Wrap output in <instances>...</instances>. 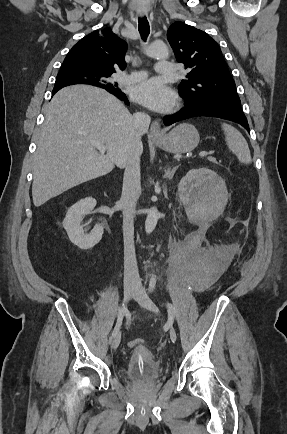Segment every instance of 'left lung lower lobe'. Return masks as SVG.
<instances>
[{
    "mask_svg": "<svg viewBox=\"0 0 287 434\" xmlns=\"http://www.w3.org/2000/svg\"><path fill=\"white\" fill-rule=\"evenodd\" d=\"M197 116H209L227 119L239 123L250 132L240 102H185V107L174 115L165 116L163 122L166 126L175 122Z\"/></svg>",
    "mask_w": 287,
    "mask_h": 434,
    "instance_id": "left-lung-lower-lobe-1",
    "label": "left lung lower lobe"
}]
</instances>
